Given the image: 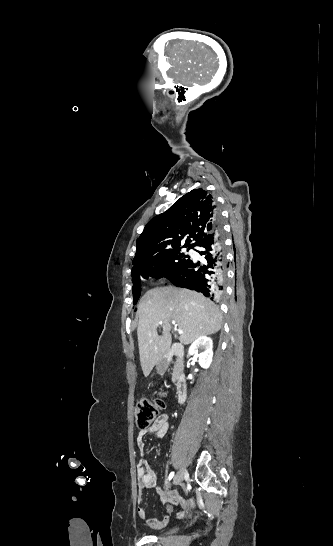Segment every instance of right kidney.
Here are the masks:
<instances>
[{
  "mask_svg": "<svg viewBox=\"0 0 333 546\" xmlns=\"http://www.w3.org/2000/svg\"><path fill=\"white\" fill-rule=\"evenodd\" d=\"M213 342L209 337H200L195 340L188 350V356H192L193 360H197L199 365L207 369L209 368L213 357ZM198 349H203V352L198 354Z\"/></svg>",
  "mask_w": 333,
  "mask_h": 546,
  "instance_id": "ca27d5eb",
  "label": "right kidney"
}]
</instances>
